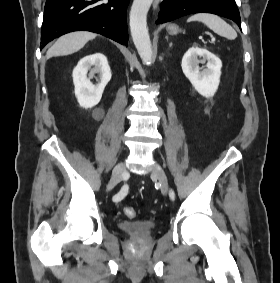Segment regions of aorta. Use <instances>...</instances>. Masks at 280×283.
<instances>
[{
  "label": "aorta",
  "instance_id": "762f6f07",
  "mask_svg": "<svg viewBox=\"0 0 280 283\" xmlns=\"http://www.w3.org/2000/svg\"><path fill=\"white\" fill-rule=\"evenodd\" d=\"M153 0H134L130 11V31L139 56L145 64L152 60V46L147 28V13Z\"/></svg>",
  "mask_w": 280,
  "mask_h": 283
}]
</instances>
